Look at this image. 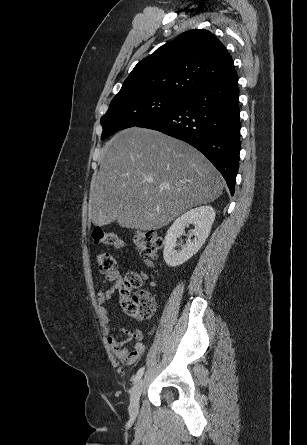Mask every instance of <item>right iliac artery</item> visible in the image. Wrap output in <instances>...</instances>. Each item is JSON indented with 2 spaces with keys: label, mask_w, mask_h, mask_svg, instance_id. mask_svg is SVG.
Returning <instances> with one entry per match:
<instances>
[{
  "label": "right iliac artery",
  "mask_w": 307,
  "mask_h": 445,
  "mask_svg": "<svg viewBox=\"0 0 307 445\" xmlns=\"http://www.w3.org/2000/svg\"><path fill=\"white\" fill-rule=\"evenodd\" d=\"M143 373H144V367H141L136 373V376L134 378V383L137 382L142 377Z\"/></svg>",
  "instance_id": "obj_1"
}]
</instances>
